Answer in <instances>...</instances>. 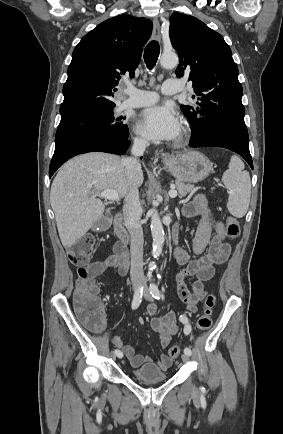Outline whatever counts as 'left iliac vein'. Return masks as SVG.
I'll return each mask as SVG.
<instances>
[{
    "mask_svg": "<svg viewBox=\"0 0 283 434\" xmlns=\"http://www.w3.org/2000/svg\"><path fill=\"white\" fill-rule=\"evenodd\" d=\"M143 288H144V297H145V299L148 300V301L152 300L150 292H149V289H148V286H147V284L145 282L143 283ZM181 357H182L183 362L187 363L189 361V355H187V354L184 353V354H182ZM193 390L194 391L196 390V388L194 386H193Z\"/></svg>",
    "mask_w": 283,
    "mask_h": 434,
    "instance_id": "1",
    "label": "left iliac vein"
}]
</instances>
